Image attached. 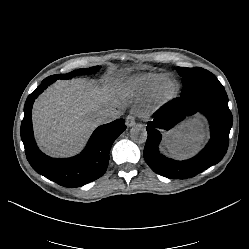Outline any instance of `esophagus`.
Instances as JSON below:
<instances>
[{"instance_id":"34e87169","label":"esophagus","mask_w":249,"mask_h":249,"mask_svg":"<svg viewBox=\"0 0 249 249\" xmlns=\"http://www.w3.org/2000/svg\"><path fill=\"white\" fill-rule=\"evenodd\" d=\"M135 124H136V121H135L134 115H133L132 113L128 114V115L126 116V125H127L128 127H132V126H134Z\"/></svg>"}]
</instances>
